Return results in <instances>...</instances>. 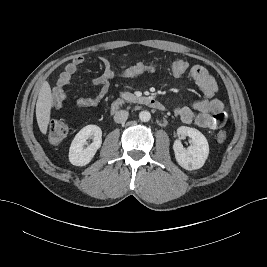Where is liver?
I'll return each instance as SVG.
<instances>
[{"label":"liver","mask_w":267,"mask_h":267,"mask_svg":"<svg viewBox=\"0 0 267 267\" xmlns=\"http://www.w3.org/2000/svg\"><path fill=\"white\" fill-rule=\"evenodd\" d=\"M52 106V92L50 85L45 81L40 89L36 103V118L42 134L47 133Z\"/></svg>","instance_id":"1"}]
</instances>
